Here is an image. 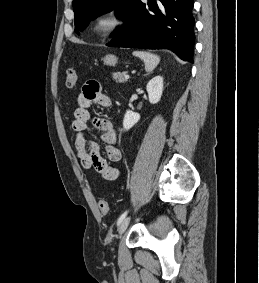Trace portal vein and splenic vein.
<instances>
[{"instance_id": "1", "label": "portal vein and splenic vein", "mask_w": 259, "mask_h": 283, "mask_svg": "<svg viewBox=\"0 0 259 283\" xmlns=\"http://www.w3.org/2000/svg\"><path fill=\"white\" fill-rule=\"evenodd\" d=\"M125 79H129V75L128 74L125 75Z\"/></svg>"}]
</instances>
